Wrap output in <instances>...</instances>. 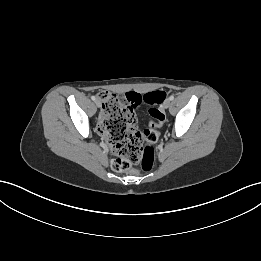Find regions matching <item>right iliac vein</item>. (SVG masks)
Wrapping results in <instances>:
<instances>
[{
	"instance_id": "obj_1",
	"label": "right iliac vein",
	"mask_w": 261,
	"mask_h": 261,
	"mask_svg": "<svg viewBox=\"0 0 261 261\" xmlns=\"http://www.w3.org/2000/svg\"><path fill=\"white\" fill-rule=\"evenodd\" d=\"M95 104L97 107H100L101 106V101L99 99H96L95 100Z\"/></svg>"
}]
</instances>
